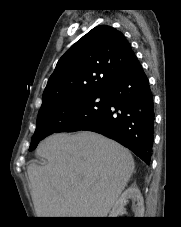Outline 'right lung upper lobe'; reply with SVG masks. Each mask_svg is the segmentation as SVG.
I'll return each mask as SVG.
<instances>
[{"instance_id": "obj_1", "label": "right lung upper lobe", "mask_w": 181, "mask_h": 227, "mask_svg": "<svg viewBox=\"0 0 181 227\" xmlns=\"http://www.w3.org/2000/svg\"><path fill=\"white\" fill-rule=\"evenodd\" d=\"M135 57L120 31L107 25L93 28L58 61L43 92L40 110L108 90Z\"/></svg>"}]
</instances>
